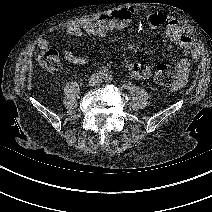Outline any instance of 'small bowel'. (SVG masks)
Here are the masks:
<instances>
[{
  "label": "small bowel",
  "instance_id": "c3829d8e",
  "mask_svg": "<svg viewBox=\"0 0 212 212\" xmlns=\"http://www.w3.org/2000/svg\"><path fill=\"white\" fill-rule=\"evenodd\" d=\"M137 11L132 7H121L111 12H105L95 18L85 19L81 22H73L61 28V32L84 37H104L107 33L116 30H122L129 25L131 20L136 16ZM150 26L158 28L166 26V37L175 44L180 52L181 58L178 61L175 72L174 81L171 86L172 90L183 87L191 72L190 61L197 58L199 54L196 41L189 36L187 32L188 24L180 18H169L164 14L152 13L147 16ZM38 47L42 50L48 48L49 43L45 38L38 39ZM64 58L71 64L85 65L89 63V59L65 49ZM129 74L138 80L147 79L150 76V67L143 62H132L126 65Z\"/></svg>",
  "mask_w": 212,
  "mask_h": 212
}]
</instances>
